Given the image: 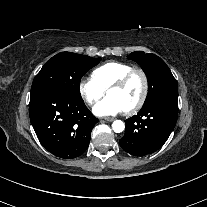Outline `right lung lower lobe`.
<instances>
[{
    "label": "right lung lower lobe",
    "mask_w": 207,
    "mask_h": 207,
    "mask_svg": "<svg viewBox=\"0 0 207 207\" xmlns=\"http://www.w3.org/2000/svg\"><path fill=\"white\" fill-rule=\"evenodd\" d=\"M30 121L41 144L64 159L82 155L98 119L78 100L57 90L31 93Z\"/></svg>",
    "instance_id": "obj_1"
}]
</instances>
